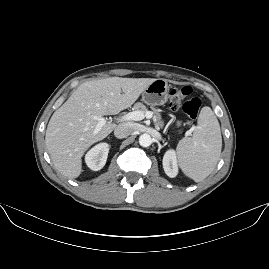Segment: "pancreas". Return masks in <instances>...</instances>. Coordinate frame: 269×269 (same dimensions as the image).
Masks as SVG:
<instances>
[{"label":"pancreas","mask_w":269,"mask_h":269,"mask_svg":"<svg viewBox=\"0 0 269 269\" xmlns=\"http://www.w3.org/2000/svg\"><path fill=\"white\" fill-rule=\"evenodd\" d=\"M133 109L136 111H138V110L143 111L144 113H146L148 110L147 107L140 102L135 103ZM151 109H152L154 115L156 116V118H159L160 117L159 112L154 107H151Z\"/></svg>","instance_id":"obj_1"}]
</instances>
